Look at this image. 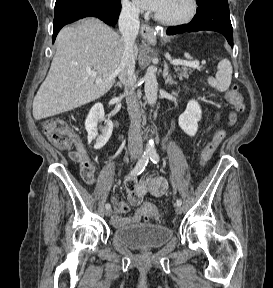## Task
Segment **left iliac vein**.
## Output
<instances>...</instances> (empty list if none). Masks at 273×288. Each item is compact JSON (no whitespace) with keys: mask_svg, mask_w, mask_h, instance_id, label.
Segmentation results:
<instances>
[{"mask_svg":"<svg viewBox=\"0 0 273 288\" xmlns=\"http://www.w3.org/2000/svg\"><path fill=\"white\" fill-rule=\"evenodd\" d=\"M175 212H176L178 215L182 214V212H183L182 207H181V206H176Z\"/></svg>","mask_w":273,"mask_h":288,"instance_id":"left-iliac-vein-1","label":"left iliac vein"}]
</instances>
